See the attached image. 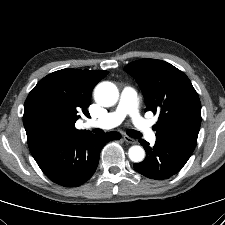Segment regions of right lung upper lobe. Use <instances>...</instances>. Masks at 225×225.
I'll use <instances>...</instances> for the list:
<instances>
[{
  "instance_id": "obj_1",
  "label": "right lung upper lobe",
  "mask_w": 225,
  "mask_h": 225,
  "mask_svg": "<svg viewBox=\"0 0 225 225\" xmlns=\"http://www.w3.org/2000/svg\"><path fill=\"white\" fill-rule=\"evenodd\" d=\"M108 71L62 69L41 79L24 104L23 124L30 151L61 137L86 133L75 128L82 111L87 110L93 87Z\"/></svg>"
}]
</instances>
